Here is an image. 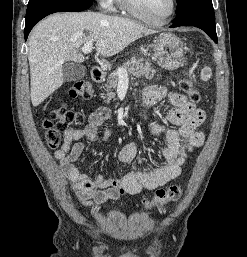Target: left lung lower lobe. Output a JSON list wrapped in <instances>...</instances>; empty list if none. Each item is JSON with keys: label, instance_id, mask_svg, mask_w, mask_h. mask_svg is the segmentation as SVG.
<instances>
[{"label": "left lung lower lobe", "instance_id": "left-lung-lower-lobe-1", "mask_svg": "<svg viewBox=\"0 0 247 257\" xmlns=\"http://www.w3.org/2000/svg\"><path fill=\"white\" fill-rule=\"evenodd\" d=\"M195 26L205 31L217 43L215 14L212 7L194 6L177 14L170 27Z\"/></svg>", "mask_w": 247, "mask_h": 257}]
</instances>
